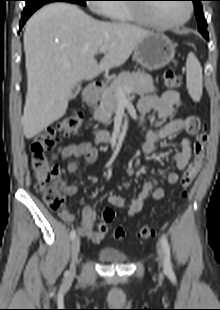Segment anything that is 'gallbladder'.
Returning <instances> with one entry per match:
<instances>
[{
    "label": "gallbladder",
    "instance_id": "1",
    "mask_svg": "<svg viewBox=\"0 0 220 310\" xmlns=\"http://www.w3.org/2000/svg\"><path fill=\"white\" fill-rule=\"evenodd\" d=\"M80 90H81V85L80 84L74 85L73 88H72V92H71L70 98L71 99H75L76 96L78 95V93L80 92Z\"/></svg>",
    "mask_w": 220,
    "mask_h": 310
}]
</instances>
